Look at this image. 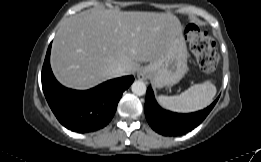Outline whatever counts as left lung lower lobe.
Instances as JSON below:
<instances>
[{
    "instance_id": "1",
    "label": "left lung lower lobe",
    "mask_w": 261,
    "mask_h": 162,
    "mask_svg": "<svg viewBox=\"0 0 261 162\" xmlns=\"http://www.w3.org/2000/svg\"><path fill=\"white\" fill-rule=\"evenodd\" d=\"M218 98L207 108L189 114L162 109L156 102L151 87L147 88L144 105L145 116L151 128L164 136H179L196 128L210 113Z\"/></svg>"
}]
</instances>
